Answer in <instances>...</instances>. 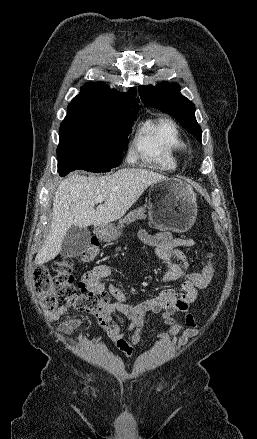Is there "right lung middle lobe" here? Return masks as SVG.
<instances>
[{"label":"right lung middle lobe","instance_id":"right-lung-middle-lobe-1","mask_svg":"<svg viewBox=\"0 0 257 439\" xmlns=\"http://www.w3.org/2000/svg\"><path fill=\"white\" fill-rule=\"evenodd\" d=\"M135 119V113L121 118L66 116L57 149L60 175L75 169L108 172L117 167Z\"/></svg>","mask_w":257,"mask_h":439}]
</instances>
